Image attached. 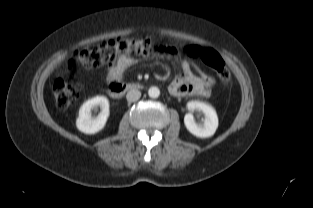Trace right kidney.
Instances as JSON below:
<instances>
[{"label": "right kidney", "instance_id": "obj_1", "mask_svg": "<svg viewBox=\"0 0 313 208\" xmlns=\"http://www.w3.org/2000/svg\"><path fill=\"white\" fill-rule=\"evenodd\" d=\"M100 107L101 111L96 118H92L91 111L97 110ZM109 116V101L104 96L93 97L84 102L76 119V126L79 131L85 134H95L101 131L107 122Z\"/></svg>", "mask_w": 313, "mask_h": 208}]
</instances>
